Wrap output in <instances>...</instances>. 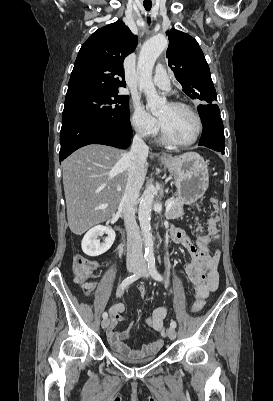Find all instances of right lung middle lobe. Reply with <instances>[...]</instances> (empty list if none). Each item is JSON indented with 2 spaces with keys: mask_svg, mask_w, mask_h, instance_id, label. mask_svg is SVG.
<instances>
[{
  "mask_svg": "<svg viewBox=\"0 0 273 401\" xmlns=\"http://www.w3.org/2000/svg\"><path fill=\"white\" fill-rule=\"evenodd\" d=\"M128 103V96H121L118 91H87L67 95L62 124L87 119L131 127Z\"/></svg>",
  "mask_w": 273,
  "mask_h": 401,
  "instance_id": "right-lung-middle-lobe-1",
  "label": "right lung middle lobe"
}]
</instances>
